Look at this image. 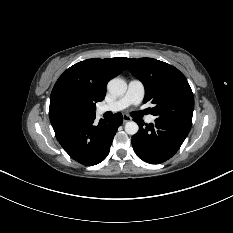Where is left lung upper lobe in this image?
Wrapping results in <instances>:
<instances>
[{
    "label": "left lung upper lobe",
    "mask_w": 233,
    "mask_h": 233,
    "mask_svg": "<svg viewBox=\"0 0 233 233\" xmlns=\"http://www.w3.org/2000/svg\"><path fill=\"white\" fill-rule=\"evenodd\" d=\"M122 59L144 84V103L155 104L152 114L157 119L191 128L194 97L185 76L172 65L153 58Z\"/></svg>",
    "instance_id": "left-lung-upper-lobe-1"
}]
</instances>
